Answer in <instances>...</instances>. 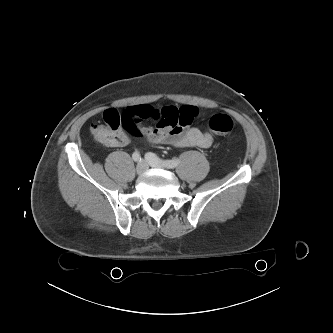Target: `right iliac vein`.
<instances>
[{"label": "right iliac vein", "instance_id": "obj_1", "mask_svg": "<svg viewBox=\"0 0 333 333\" xmlns=\"http://www.w3.org/2000/svg\"><path fill=\"white\" fill-rule=\"evenodd\" d=\"M147 168V163L145 161H140L138 164H137V167H136V172L138 175H141L144 173V171L146 170Z\"/></svg>", "mask_w": 333, "mask_h": 333}]
</instances>
